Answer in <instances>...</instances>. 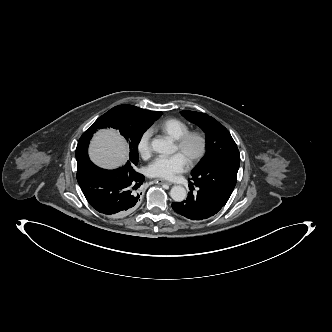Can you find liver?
Returning a JSON list of instances; mask_svg holds the SVG:
<instances>
[{"label": "liver", "instance_id": "1", "mask_svg": "<svg viewBox=\"0 0 332 332\" xmlns=\"http://www.w3.org/2000/svg\"><path fill=\"white\" fill-rule=\"evenodd\" d=\"M89 156L91 161L100 167L116 168L126 159V144L113 129L100 130L91 141Z\"/></svg>", "mask_w": 332, "mask_h": 332}]
</instances>
